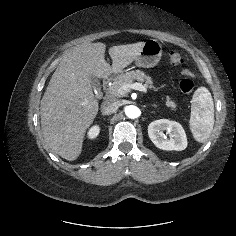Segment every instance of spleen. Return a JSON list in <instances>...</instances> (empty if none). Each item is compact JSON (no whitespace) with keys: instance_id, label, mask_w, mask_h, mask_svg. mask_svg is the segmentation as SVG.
I'll return each mask as SVG.
<instances>
[{"instance_id":"spleen-1","label":"spleen","mask_w":236,"mask_h":236,"mask_svg":"<svg viewBox=\"0 0 236 236\" xmlns=\"http://www.w3.org/2000/svg\"><path fill=\"white\" fill-rule=\"evenodd\" d=\"M189 125L194 139L200 143L205 142L213 130L214 103L205 87H199L193 94Z\"/></svg>"}]
</instances>
